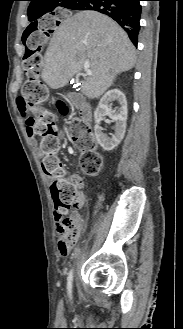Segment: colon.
Instances as JSON below:
<instances>
[{"instance_id":"1","label":"colon","mask_w":183,"mask_h":329,"mask_svg":"<svg viewBox=\"0 0 183 329\" xmlns=\"http://www.w3.org/2000/svg\"><path fill=\"white\" fill-rule=\"evenodd\" d=\"M71 14H41V19H34V25H27L26 31H21L24 38V54L22 68L26 76L22 85L23 96H17L18 114H32L29 125L34 136L40 139L43 154L42 168L44 173L53 179L51 194L54 202L55 217L60 221L65 241L73 245L76 242L78 230L66 216L77 208V183L66 176L64 167L59 160V137L53 114L39 106L43 96V86L39 82L41 68L40 51L53 32H58V26H64V21H71ZM72 136L81 150L80 166L87 175L98 173L102 161L95 152V141L87 124L75 119L72 123Z\"/></svg>"}]
</instances>
